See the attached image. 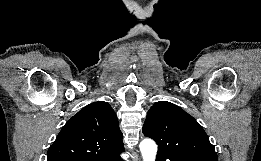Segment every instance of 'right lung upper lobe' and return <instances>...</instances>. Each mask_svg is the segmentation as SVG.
Wrapping results in <instances>:
<instances>
[{
  "mask_svg": "<svg viewBox=\"0 0 261 161\" xmlns=\"http://www.w3.org/2000/svg\"><path fill=\"white\" fill-rule=\"evenodd\" d=\"M115 112L93 102L68 120L47 153V161H84L124 150Z\"/></svg>",
  "mask_w": 261,
  "mask_h": 161,
  "instance_id": "right-lung-upper-lobe-1",
  "label": "right lung upper lobe"
}]
</instances>
